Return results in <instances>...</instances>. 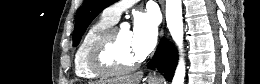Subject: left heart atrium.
<instances>
[{
    "label": "left heart atrium",
    "instance_id": "left-heart-atrium-1",
    "mask_svg": "<svg viewBox=\"0 0 260 84\" xmlns=\"http://www.w3.org/2000/svg\"><path fill=\"white\" fill-rule=\"evenodd\" d=\"M133 48L139 58L147 56L158 38V19L153 12H141L134 18L131 32Z\"/></svg>",
    "mask_w": 260,
    "mask_h": 84
}]
</instances>
